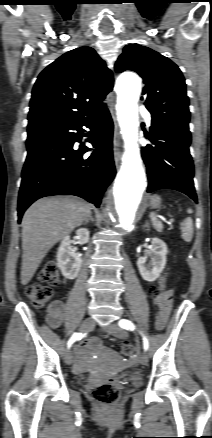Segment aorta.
Segmentation results:
<instances>
[{
	"mask_svg": "<svg viewBox=\"0 0 212 438\" xmlns=\"http://www.w3.org/2000/svg\"><path fill=\"white\" fill-rule=\"evenodd\" d=\"M141 80L133 74H123L117 81V116L125 142L123 163L113 188L112 212L120 231L133 228L139 204L146 187V177L140 157L138 140V100Z\"/></svg>",
	"mask_w": 212,
	"mask_h": 438,
	"instance_id": "obj_1",
	"label": "aorta"
}]
</instances>
